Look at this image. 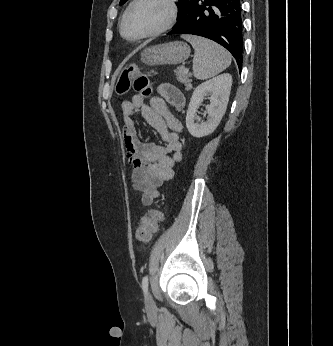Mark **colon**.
I'll use <instances>...</instances> for the list:
<instances>
[{"label": "colon", "instance_id": "1", "mask_svg": "<svg viewBox=\"0 0 333 346\" xmlns=\"http://www.w3.org/2000/svg\"><path fill=\"white\" fill-rule=\"evenodd\" d=\"M134 89L140 95L148 97L152 89L148 76L139 70L136 65L126 66L118 79L116 92L119 95L128 93ZM162 220V214L158 210H150L141 220L135 230V238L139 243H147L157 231L158 224Z\"/></svg>", "mask_w": 333, "mask_h": 346}]
</instances>
